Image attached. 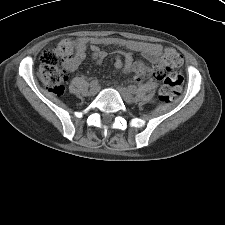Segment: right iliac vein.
<instances>
[{"instance_id": "63e3f726", "label": "right iliac vein", "mask_w": 225, "mask_h": 225, "mask_svg": "<svg viewBox=\"0 0 225 225\" xmlns=\"http://www.w3.org/2000/svg\"><path fill=\"white\" fill-rule=\"evenodd\" d=\"M99 89H100V87H99L98 84H97V85H92V86L90 87L89 94H90L91 96H94V95H96V94L98 93Z\"/></svg>"}]
</instances>
